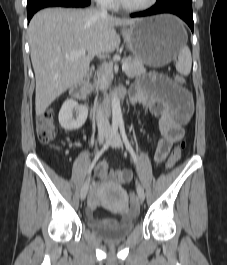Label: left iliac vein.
<instances>
[{"label":"left iliac vein","instance_id":"left-iliac-vein-1","mask_svg":"<svg viewBox=\"0 0 227 265\" xmlns=\"http://www.w3.org/2000/svg\"><path fill=\"white\" fill-rule=\"evenodd\" d=\"M111 146L114 148H119L121 146V138L118 133H116L112 139ZM137 195L140 202H143L145 199V192L141 184H137Z\"/></svg>","mask_w":227,"mask_h":265}]
</instances>
